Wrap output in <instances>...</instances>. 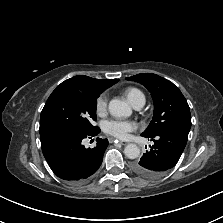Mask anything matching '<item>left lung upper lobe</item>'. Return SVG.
I'll return each instance as SVG.
<instances>
[{
	"label": "left lung upper lobe",
	"mask_w": 223,
	"mask_h": 223,
	"mask_svg": "<svg viewBox=\"0 0 223 223\" xmlns=\"http://www.w3.org/2000/svg\"><path fill=\"white\" fill-rule=\"evenodd\" d=\"M126 79L144 85L153 98L154 116L142 136L154 137L168 130L188 135L191 128L190 108L172 82L152 73L137 74Z\"/></svg>",
	"instance_id": "1"
}]
</instances>
